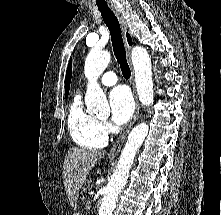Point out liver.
Listing matches in <instances>:
<instances>
[{
	"mask_svg": "<svg viewBox=\"0 0 221 215\" xmlns=\"http://www.w3.org/2000/svg\"><path fill=\"white\" fill-rule=\"evenodd\" d=\"M104 152L84 148L68 150L63 164V182L71 206L77 208V200L86 177Z\"/></svg>",
	"mask_w": 221,
	"mask_h": 215,
	"instance_id": "liver-1",
	"label": "liver"
}]
</instances>
